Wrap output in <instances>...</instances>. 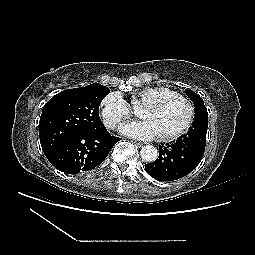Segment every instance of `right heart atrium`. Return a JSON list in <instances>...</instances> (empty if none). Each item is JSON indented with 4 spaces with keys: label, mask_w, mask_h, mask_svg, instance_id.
<instances>
[{
    "label": "right heart atrium",
    "mask_w": 255,
    "mask_h": 255,
    "mask_svg": "<svg viewBox=\"0 0 255 255\" xmlns=\"http://www.w3.org/2000/svg\"><path fill=\"white\" fill-rule=\"evenodd\" d=\"M101 117L104 124L111 129L130 116V107L118 92H111L100 104Z\"/></svg>",
    "instance_id": "1"
}]
</instances>
